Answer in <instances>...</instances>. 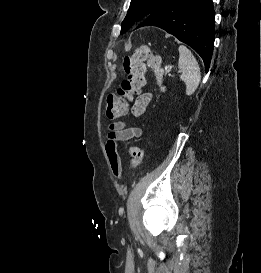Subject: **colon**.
<instances>
[{
    "instance_id": "colon-1",
    "label": "colon",
    "mask_w": 261,
    "mask_h": 273,
    "mask_svg": "<svg viewBox=\"0 0 261 273\" xmlns=\"http://www.w3.org/2000/svg\"><path fill=\"white\" fill-rule=\"evenodd\" d=\"M123 68L127 78L122 81L117 94L110 95L106 101V116L109 119H117L127 113L129 101L146 83L147 68L152 69L158 82L163 75L161 57L149 45H142L132 55L126 56L123 60ZM129 154L130 168H136L143 160L144 151L138 146H131Z\"/></svg>"
}]
</instances>
